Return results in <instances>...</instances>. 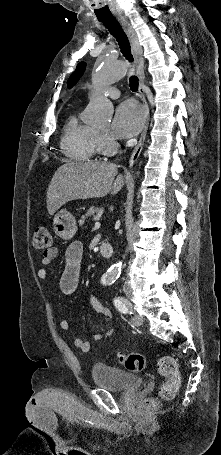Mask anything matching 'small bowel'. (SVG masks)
I'll return each instance as SVG.
<instances>
[{
  "instance_id": "obj_1",
  "label": "small bowel",
  "mask_w": 221,
  "mask_h": 455,
  "mask_svg": "<svg viewBox=\"0 0 221 455\" xmlns=\"http://www.w3.org/2000/svg\"><path fill=\"white\" fill-rule=\"evenodd\" d=\"M58 249L51 247L50 249L43 252L40 267L37 270V277L41 281L47 279L46 267L49 266L52 261L57 257ZM83 260V245L80 242H73L70 244L65 252V266L60 280V288L63 294L70 296L72 295L78 286L80 272L82 268ZM90 304L93 309L99 314L108 319L112 318V312L110 309L105 307L97 295L90 296ZM69 322L66 320L60 321V328L64 331L69 330ZM113 334V330H108L104 333H95V340H103L109 338ZM74 345L81 349L83 352H89L91 350V342L82 338H75Z\"/></svg>"
}]
</instances>
